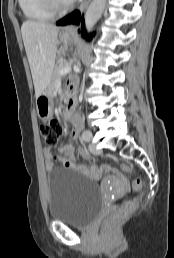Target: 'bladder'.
I'll return each mask as SVG.
<instances>
[{"label": "bladder", "mask_w": 174, "mask_h": 258, "mask_svg": "<svg viewBox=\"0 0 174 258\" xmlns=\"http://www.w3.org/2000/svg\"><path fill=\"white\" fill-rule=\"evenodd\" d=\"M47 186L48 214L53 220L87 227L104 207L100 187L75 170L53 169L48 174Z\"/></svg>", "instance_id": "31cf9c89"}]
</instances>
